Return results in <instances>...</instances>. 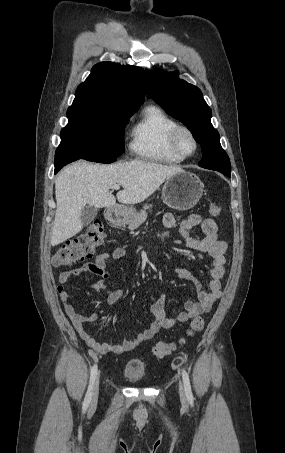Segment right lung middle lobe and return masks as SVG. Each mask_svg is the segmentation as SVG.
<instances>
[{
    "label": "right lung middle lobe",
    "mask_w": 285,
    "mask_h": 453,
    "mask_svg": "<svg viewBox=\"0 0 285 453\" xmlns=\"http://www.w3.org/2000/svg\"><path fill=\"white\" fill-rule=\"evenodd\" d=\"M136 111V110H135ZM135 111L70 106L69 122L61 130L60 153L100 163H112L124 152V128Z\"/></svg>",
    "instance_id": "dd1d6c3e"
}]
</instances>
